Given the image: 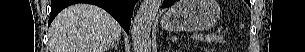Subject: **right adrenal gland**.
I'll return each instance as SVG.
<instances>
[{"label":"right adrenal gland","instance_id":"obj_1","mask_svg":"<svg viewBox=\"0 0 305 52\" xmlns=\"http://www.w3.org/2000/svg\"><path fill=\"white\" fill-rule=\"evenodd\" d=\"M119 45V41H117L115 44H113L112 46H111V48H115V49H117V46Z\"/></svg>","mask_w":305,"mask_h":52}]
</instances>
